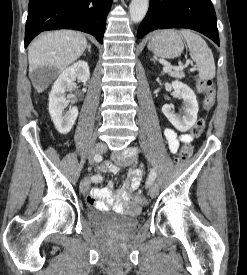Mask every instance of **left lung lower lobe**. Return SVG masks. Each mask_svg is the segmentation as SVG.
Instances as JSON below:
<instances>
[{
    "instance_id": "0a47b994",
    "label": "left lung lower lobe",
    "mask_w": 247,
    "mask_h": 275,
    "mask_svg": "<svg viewBox=\"0 0 247 275\" xmlns=\"http://www.w3.org/2000/svg\"><path fill=\"white\" fill-rule=\"evenodd\" d=\"M165 28H188L209 37L219 45L216 14L211 0H150L137 38Z\"/></svg>"
}]
</instances>
